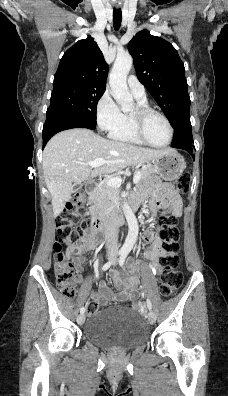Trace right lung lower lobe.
<instances>
[{
  "label": "right lung lower lobe",
  "instance_id": "1",
  "mask_svg": "<svg viewBox=\"0 0 228 396\" xmlns=\"http://www.w3.org/2000/svg\"><path fill=\"white\" fill-rule=\"evenodd\" d=\"M72 128H88L93 130L96 128V125L66 112L57 110L47 111L46 122L42 132L43 147L54 134Z\"/></svg>",
  "mask_w": 228,
  "mask_h": 396
}]
</instances>
